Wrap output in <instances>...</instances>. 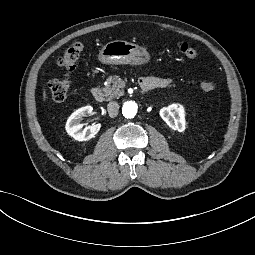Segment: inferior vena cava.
Wrapping results in <instances>:
<instances>
[{"label":"inferior vena cava","instance_id":"obj_1","mask_svg":"<svg viewBox=\"0 0 255 255\" xmlns=\"http://www.w3.org/2000/svg\"><path fill=\"white\" fill-rule=\"evenodd\" d=\"M108 113L110 117H116L119 112V104L116 101H111L108 103Z\"/></svg>","mask_w":255,"mask_h":255}]
</instances>
